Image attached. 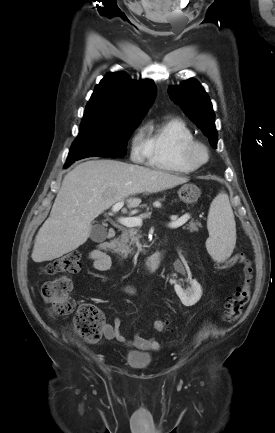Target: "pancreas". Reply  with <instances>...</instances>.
Masks as SVG:
<instances>
[{
  "instance_id": "pancreas-1",
  "label": "pancreas",
  "mask_w": 275,
  "mask_h": 433,
  "mask_svg": "<svg viewBox=\"0 0 275 433\" xmlns=\"http://www.w3.org/2000/svg\"><path fill=\"white\" fill-rule=\"evenodd\" d=\"M201 227V223L191 220L188 224H186L185 229L190 232H198ZM121 236L115 241L116 251L120 253L124 258H127L129 254H133V248L139 238L141 237L138 232L139 230L134 227H123L121 229Z\"/></svg>"
}]
</instances>
